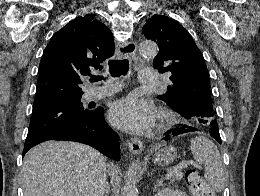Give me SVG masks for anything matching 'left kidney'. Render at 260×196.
I'll use <instances>...</instances> for the list:
<instances>
[{"instance_id": "1", "label": "left kidney", "mask_w": 260, "mask_h": 196, "mask_svg": "<svg viewBox=\"0 0 260 196\" xmlns=\"http://www.w3.org/2000/svg\"><path fill=\"white\" fill-rule=\"evenodd\" d=\"M156 196H187L182 190H174V188H163Z\"/></svg>"}]
</instances>
